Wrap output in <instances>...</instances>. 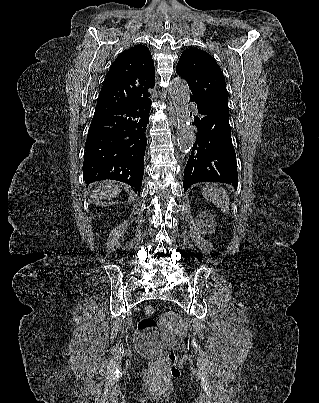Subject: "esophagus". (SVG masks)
Listing matches in <instances>:
<instances>
[{
    "label": "esophagus",
    "instance_id": "obj_1",
    "mask_svg": "<svg viewBox=\"0 0 319 403\" xmlns=\"http://www.w3.org/2000/svg\"><path fill=\"white\" fill-rule=\"evenodd\" d=\"M169 112H170V120L173 123V125L176 126L177 125L176 115H175L174 108L172 107L171 104H170V107H169Z\"/></svg>",
    "mask_w": 319,
    "mask_h": 403
}]
</instances>
